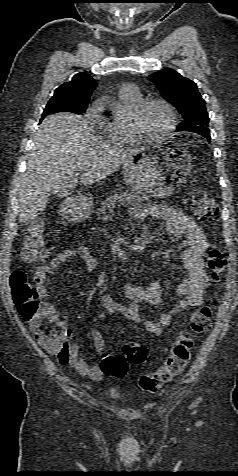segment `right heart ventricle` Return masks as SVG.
<instances>
[{
    "mask_svg": "<svg viewBox=\"0 0 238 476\" xmlns=\"http://www.w3.org/2000/svg\"><path fill=\"white\" fill-rule=\"evenodd\" d=\"M119 108L109 120L104 121V134L113 144L121 146L136 142L128 125V118L132 110L143 100L140 93L128 94L119 92Z\"/></svg>",
    "mask_w": 238,
    "mask_h": 476,
    "instance_id": "right-heart-ventricle-1",
    "label": "right heart ventricle"
}]
</instances>
